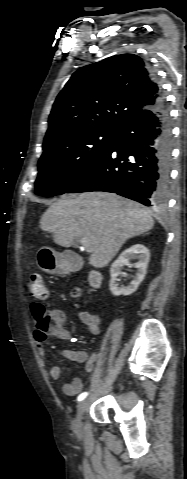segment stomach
Listing matches in <instances>:
<instances>
[{"label":"stomach","mask_w":187,"mask_h":479,"mask_svg":"<svg viewBox=\"0 0 187 479\" xmlns=\"http://www.w3.org/2000/svg\"><path fill=\"white\" fill-rule=\"evenodd\" d=\"M37 264L40 269L50 274H65L67 262L63 256L49 247H42L37 252Z\"/></svg>","instance_id":"0dacf381"}]
</instances>
